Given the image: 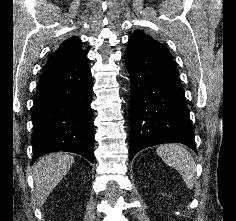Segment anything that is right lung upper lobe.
I'll return each instance as SVG.
<instances>
[{
	"instance_id": "cb5924a9",
	"label": "right lung upper lobe",
	"mask_w": 236,
	"mask_h": 221,
	"mask_svg": "<svg viewBox=\"0 0 236 221\" xmlns=\"http://www.w3.org/2000/svg\"><path fill=\"white\" fill-rule=\"evenodd\" d=\"M85 57L81 49V40L71 37L61 43L58 50L50 55L44 70L76 62Z\"/></svg>"
}]
</instances>
